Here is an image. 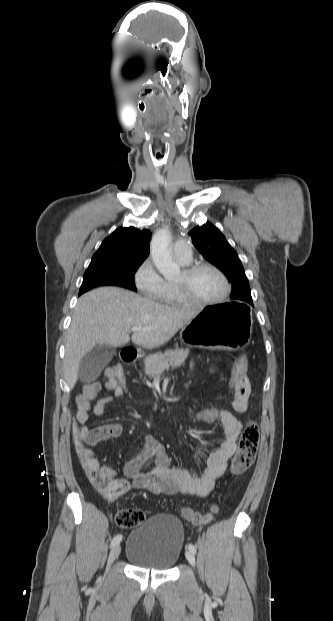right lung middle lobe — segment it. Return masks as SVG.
<instances>
[{
	"mask_svg": "<svg viewBox=\"0 0 333 621\" xmlns=\"http://www.w3.org/2000/svg\"><path fill=\"white\" fill-rule=\"evenodd\" d=\"M142 261L108 260L91 262L86 270L79 295L101 285H115L133 291V275Z\"/></svg>",
	"mask_w": 333,
	"mask_h": 621,
	"instance_id": "dd1d6c3e",
	"label": "right lung middle lobe"
}]
</instances>
